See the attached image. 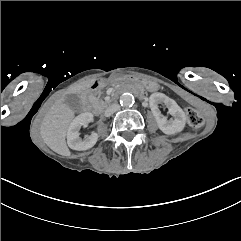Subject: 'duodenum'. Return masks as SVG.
I'll return each instance as SVG.
<instances>
[{"mask_svg":"<svg viewBox=\"0 0 241 241\" xmlns=\"http://www.w3.org/2000/svg\"><path fill=\"white\" fill-rule=\"evenodd\" d=\"M103 85H104L103 81L96 80L89 86V88L83 94V107L86 111L92 110L90 98L95 92H97L100 88H102ZM126 92L133 93L141 98H143L145 96L144 90L139 87H135V86H128V87L120 88L115 92V94L120 95V94H123ZM94 111L97 112V109H94Z\"/></svg>","mask_w":241,"mask_h":241,"instance_id":"obj_1","label":"duodenum"}]
</instances>
